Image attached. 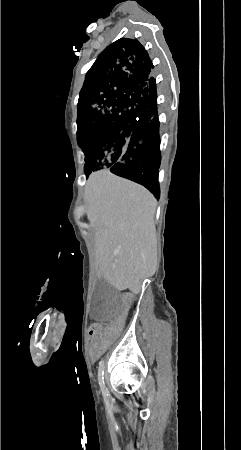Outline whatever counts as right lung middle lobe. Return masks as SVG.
Returning a JSON list of instances; mask_svg holds the SVG:
<instances>
[{
  "mask_svg": "<svg viewBox=\"0 0 241 450\" xmlns=\"http://www.w3.org/2000/svg\"><path fill=\"white\" fill-rule=\"evenodd\" d=\"M145 100L121 96L113 85L85 82L78 101L77 139L85 153L86 174L111 168L143 140L121 129L142 117Z\"/></svg>",
  "mask_w": 241,
  "mask_h": 450,
  "instance_id": "dd1d6c3e",
  "label": "right lung middle lobe"
}]
</instances>
